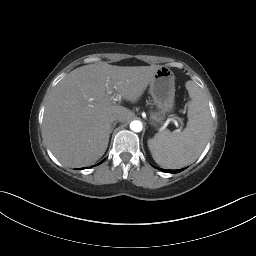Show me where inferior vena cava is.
<instances>
[{
	"instance_id": "inferior-vena-cava-1",
	"label": "inferior vena cava",
	"mask_w": 256,
	"mask_h": 256,
	"mask_svg": "<svg viewBox=\"0 0 256 256\" xmlns=\"http://www.w3.org/2000/svg\"><path fill=\"white\" fill-rule=\"evenodd\" d=\"M111 121H121V116L118 114H114L111 116Z\"/></svg>"
}]
</instances>
